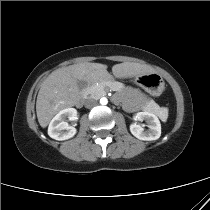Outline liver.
Masks as SVG:
<instances>
[{"label": "liver", "mask_w": 210, "mask_h": 210, "mask_svg": "<svg viewBox=\"0 0 210 210\" xmlns=\"http://www.w3.org/2000/svg\"><path fill=\"white\" fill-rule=\"evenodd\" d=\"M116 78H131L154 70L148 65L123 62L112 67ZM111 78L107 65L101 63H79L53 71L41 84L36 101L37 119L42 128L47 127L53 116L65 108L75 106L81 99L77 82L87 85L102 83Z\"/></svg>", "instance_id": "obj_1"}]
</instances>
